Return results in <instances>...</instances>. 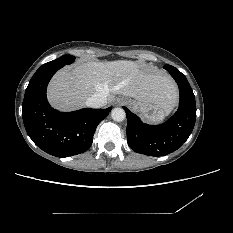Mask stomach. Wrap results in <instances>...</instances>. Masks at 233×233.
<instances>
[{"label":"stomach","mask_w":233,"mask_h":233,"mask_svg":"<svg viewBox=\"0 0 233 233\" xmlns=\"http://www.w3.org/2000/svg\"><path fill=\"white\" fill-rule=\"evenodd\" d=\"M128 103L134 112H140L151 123L161 122L172 110L149 100L133 99L129 100Z\"/></svg>","instance_id":"1"}]
</instances>
